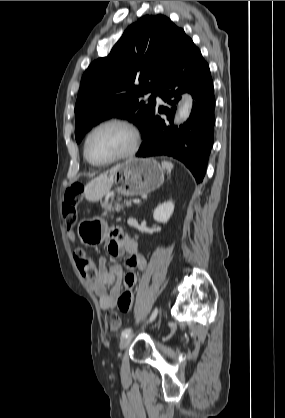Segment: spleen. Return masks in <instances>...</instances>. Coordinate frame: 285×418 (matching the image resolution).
<instances>
[{
  "label": "spleen",
  "mask_w": 285,
  "mask_h": 418,
  "mask_svg": "<svg viewBox=\"0 0 285 418\" xmlns=\"http://www.w3.org/2000/svg\"><path fill=\"white\" fill-rule=\"evenodd\" d=\"M161 165L164 169L169 171L173 168V164L171 162L163 161Z\"/></svg>",
  "instance_id": "spleen-1"
}]
</instances>
